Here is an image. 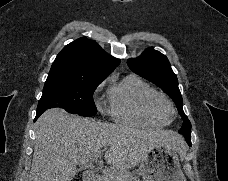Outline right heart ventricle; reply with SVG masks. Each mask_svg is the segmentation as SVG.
Returning <instances> with one entry per match:
<instances>
[{
	"instance_id": "right-heart-ventricle-1",
	"label": "right heart ventricle",
	"mask_w": 228,
	"mask_h": 181,
	"mask_svg": "<svg viewBox=\"0 0 228 181\" xmlns=\"http://www.w3.org/2000/svg\"><path fill=\"white\" fill-rule=\"evenodd\" d=\"M109 84L111 114L120 122L131 125L162 127L168 115L156 111L153 104L161 98L145 81L134 74L120 78L118 73L107 77L101 87Z\"/></svg>"
}]
</instances>
